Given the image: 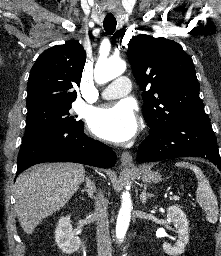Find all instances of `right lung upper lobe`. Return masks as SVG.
<instances>
[{
	"instance_id": "1",
	"label": "right lung upper lobe",
	"mask_w": 221,
	"mask_h": 256,
	"mask_svg": "<svg viewBox=\"0 0 221 256\" xmlns=\"http://www.w3.org/2000/svg\"><path fill=\"white\" fill-rule=\"evenodd\" d=\"M86 52L77 41L45 50L31 69L26 106L68 105L75 101L80 86Z\"/></svg>"
}]
</instances>
